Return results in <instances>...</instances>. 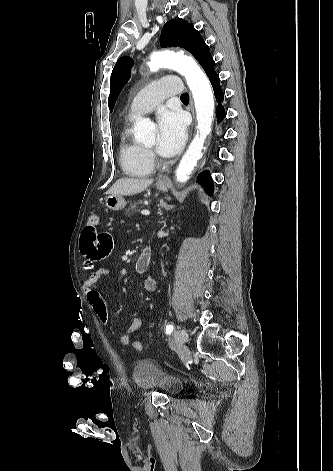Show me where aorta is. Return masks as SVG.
I'll return each instance as SVG.
<instances>
[{"label":"aorta","mask_w":333,"mask_h":471,"mask_svg":"<svg viewBox=\"0 0 333 471\" xmlns=\"http://www.w3.org/2000/svg\"><path fill=\"white\" fill-rule=\"evenodd\" d=\"M151 71L162 67L174 69L185 77L190 88L196 110L197 132L183 155L175 172L177 182L185 183L197 162L202 157L205 140L211 132L214 116V97L210 82L204 72L191 57L174 54L170 51L154 53L147 63ZM155 125L146 119H138L134 126L135 139L141 142L152 138Z\"/></svg>","instance_id":"1"}]
</instances>
